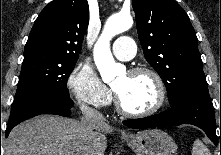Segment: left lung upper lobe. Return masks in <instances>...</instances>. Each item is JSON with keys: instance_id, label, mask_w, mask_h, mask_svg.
Returning <instances> with one entry per match:
<instances>
[{"instance_id": "left-lung-upper-lobe-1", "label": "left lung upper lobe", "mask_w": 221, "mask_h": 155, "mask_svg": "<svg viewBox=\"0 0 221 155\" xmlns=\"http://www.w3.org/2000/svg\"><path fill=\"white\" fill-rule=\"evenodd\" d=\"M144 56L162 78L170 105L190 90L207 87L197 37L175 0H133Z\"/></svg>"}]
</instances>
